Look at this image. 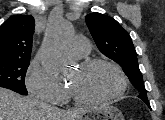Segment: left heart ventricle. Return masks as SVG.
Instances as JSON below:
<instances>
[{
    "label": "left heart ventricle",
    "instance_id": "obj_1",
    "mask_svg": "<svg viewBox=\"0 0 165 120\" xmlns=\"http://www.w3.org/2000/svg\"><path fill=\"white\" fill-rule=\"evenodd\" d=\"M80 94L92 99L108 97L120 87L117 72L106 64H99L87 70L76 71L70 81Z\"/></svg>",
    "mask_w": 165,
    "mask_h": 120
}]
</instances>
